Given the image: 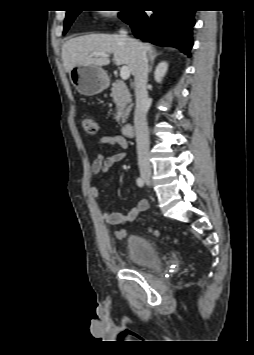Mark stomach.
Listing matches in <instances>:
<instances>
[{
	"label": "stomach",
	"mask_w": 254,
	"mask_h": 355,
	"mask_svg": "<svg viewBox=\"0 0 254 355\" xmlns=\"http://www.w3.org/2000/svg\"><path fill=\"white\" fill-rule=\"evenodd\" d=\"M69 79L76 90L85 96L101 93L109 85L106 71L99 66L83 64L69 72Z\"/></svg>",
	"instance_id": "0dacf381"
}]
</instances>
